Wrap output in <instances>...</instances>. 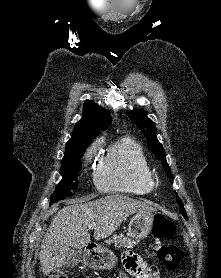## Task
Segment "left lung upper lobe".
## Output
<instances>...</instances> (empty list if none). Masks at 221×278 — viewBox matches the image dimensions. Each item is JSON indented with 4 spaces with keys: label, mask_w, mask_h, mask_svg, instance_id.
I'll list each match as a JSON object with an SVG mask.
<instances>
[{
    "label": "left lung upper lobe",
    "mask_w": 221,
    "mask_h": 278,
    "mask_svg": "<svg viewBox=\"0 0 221 278\" xmlns=\"http://www.w3.org/2000/svg\"><path fill=\"white\" fill-rule=\"evenodd\" d=\"M129 118L141 129L145 134L147 143L151 151L162 161L163 168L169 178H172V173L166 161V154L161 143L156 138V127L153 121L147 117V113L142 110L132 111L128 114ZM172 182V181H171ZM177 201L180 204V212L187 220V215L183 204L177 196Z\"/></svg>",
    "instance_id": "1"
}]
</instances>
